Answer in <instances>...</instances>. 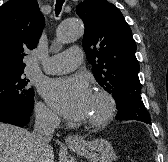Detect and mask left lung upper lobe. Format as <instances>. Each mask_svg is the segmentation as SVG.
Returning <instances> with one entry per match:
<instances>
[{
    "label": "left lung upper lobe",
    "mask_w": 168,
    "mask_h": 162,
    "mask_svg": "<svg viewBox=\"0 0 168 162\" xmlns=\"http://www.w3.org/2000/svg\"><path fill=\"white\" fill-rule=\"evenodd\" d=\"M76 13L83 20V48L97 82L116 102L140 98L136 43L120 10L106 0H86Z\"/></svg>",
    "instance_id": "1"
}]
</instances>
